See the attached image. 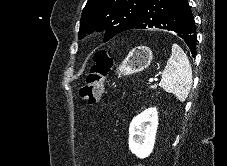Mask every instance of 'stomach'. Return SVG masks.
I'll list each match as a JSON object with an SVG mask.
<instances>
[{"label":"stomach","mask_w":227,"mask_h":166,"mask_svg":"<svg viewBox=\"0 0 227 166\" xmlns=\"http://www.w3.org/2000/svg\"><path fill=\"white\" fill-rule=\"evenodd\" d=\"M152 60L153 53L149 47H135L116 69V73L121 77L141 72L150 65Z\"/></svg>","instance_id":"1"}]
</instances>
